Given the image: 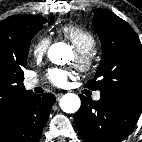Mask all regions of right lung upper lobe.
<instances>
[{"mask_svg":"<svg viewBox=\"0 0 142 142\" xmlns=\"http://www.w3.org/2000/svg\"><path fill=\"white\" fill-rule=\"evenodd\" d=\"M34 15H14L0 23V73L8 77L0 81V131L10 122L18 104L31 91L15 80V73L22 58L20 40L31 25Z\"/></svg>","mask_w":142,"mask_h":142,"instance_id":"right-lung-upper-lobe-1","label":"right lung upper lobe"}]
</instances>
